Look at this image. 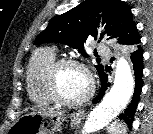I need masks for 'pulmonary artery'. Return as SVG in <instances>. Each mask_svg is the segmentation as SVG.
I'll use <instances>...</instances> for the list:
<instances>
[{"label": "pulmonary artery", "instance_id": "1", "mask_svg": "<svg viewBox=\"0 0 153 134\" xmlns=\"http://www.w3.org/2000/svg\"><path fill=\"white\" fill-rule=\"evenodd\" d=\"M97 50H98V52H100L102 54L107 52V49L103 44H99L98 47H97Z\"/></svg>", "mask_w": 153, "mask_h": 134}]
</instances>
